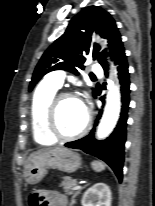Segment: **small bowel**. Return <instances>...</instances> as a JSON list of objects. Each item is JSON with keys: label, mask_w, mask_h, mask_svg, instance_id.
<instances>
[{"label": "small bowel", "mask_w": 155, "mask_h": 206, "mask_svg": "<svg viewBox=\"0 0 155 206\" xmlns=\"http://www.w3.org/2000/svg\"><path fill=\"white\" fill-rule=\"evenodd\" d=\"M38 193L41 195L38 206H66L67 198L62 193L56 191H38Z\"/></svg>", "instance_id": "1"}]
</instances>
